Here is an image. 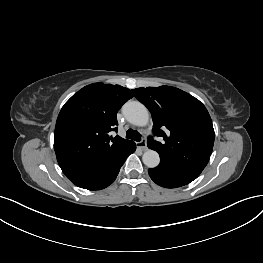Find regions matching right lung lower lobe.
<instances>
[{"label": "right lung lower lobe", "instance_id": "right-lung-lower-lobe-1", "mask_svg": "<svg viewBox=\"0 0 263 263\" xmlns=\"http://www.w3.org/2000/svg\"><path fill=\"white\" fill-rule=\"evenodd\" d=\"M133 142L121 153L113 156L103 164L83 172L67 176L76 186L88 190H100L109 186L117 177L126 158L135 151Z\"/></svg>", "mask_w": 263, "mask_h": 263}]
</instances>
